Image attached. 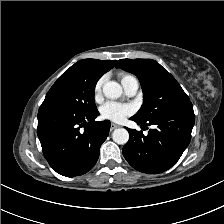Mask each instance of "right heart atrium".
I'll return each instance as SVG.
<instances>
[{"label":"right heart atrium","instance_id":"d8ad5b80","mask_svg":"<svg viewBox=\"0 0 224 224\" xmlns=\"http://www.w3.org/2000/svg\"><path fill=\"white\" fill-rule=\"evenodd\" d=\"M103 83H104V77H101L96 82V84L94 86V98L95 99H99L101 97Z\"/></svg>","mask_w":224,"mask_h":224}]
</instances>
